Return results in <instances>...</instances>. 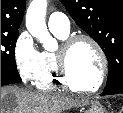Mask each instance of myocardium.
Wrapping results in <instances>:
<instances>
[{
	"label": "myocardium",
	"instance_id": "obj_1",
	"mask_svg": "<svg viewBox=\"0 0 123 113\" xmlns=\"http://www.w3.org/2000/svg\"><path fill=\"white\" fill-rule=\"evenodd\" d=\"M81 41H85L90 43L94 49L96 50L99 59H100V71L99 76L94 84V86L90 88H84L76 83H74L70 77L69 71H68V57L73 49V47ZM56 61H57V69L59 76L64 83L65 86H67L69 89L74 90L79 93L83 94H93L97 92L102 85L104 84L107 74H108V59L106 56L105 51L103 50L100 43L93 38L90 35L87 34H76L66 37L59 48V50L56 52Z\"/></svg>",
	"mask_w": 123,
	"mask_h": 113
}]
</instances>
